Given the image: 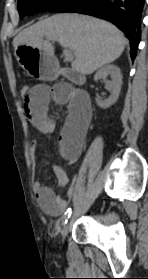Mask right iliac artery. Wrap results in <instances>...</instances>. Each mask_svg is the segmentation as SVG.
Listing matches in <instances>:
<instances>
[{
    "mask_svg": "<svg viewBox=\"0 0 148 279\" xmlns=\"http://www.w3.org/2000/svg\"><path fill=\"white\" fill-rule=\"evenodd\" d=\"M72 213L71 208H68L67 211L64 213L63 218H62V224L65 225L70 218Z\"/></svg>",
    "mask_w": 148,
    "mask_h": 279,
    "instance_id": "right-iliac-artery-1",
    "label": "right iliac artery"
}]
</instances>
